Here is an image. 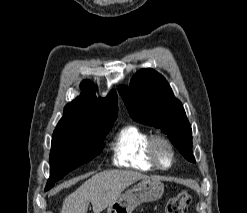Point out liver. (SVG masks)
I'll use <instances>...</instances> for the list:
<instances>
[{"label": "liver", "mask_w": 247, "mask_h": 213, "mask_svg": "<svg viewBox=\"0 0 247 213\" xmlns=\"http://www.w3.org/2000/svg\"><path fill=\"white\" fill-rule=\"evenodd\" d=\"M146 178L139 172L127 170L100 172L64 199L60 213H87L90 202L93 212L100 213L115 202L126 187Z\"/></svg>", "instance_id": "obj_1"}]
</instances>
